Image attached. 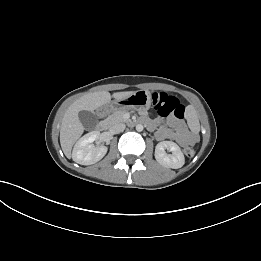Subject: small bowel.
Wrapping results in <instances>:
<instances>
[{"label":"small bowel","mask_w":261,"mask_h":261,"mask_svg":"<svg viewBox=\"0 0 261 261\" xmlns=\"http://www.w3.org/2000/svg\"><path fill=\"white\" fill-rule=\"evenodd\" d=\"M149 128L154 127V123L148 119L144 120ZM157 140L165 139L175 140L181 146L191 145L196 142L197 138L194 134L188 131L185 124L181 120L167 119L155 132Z\"/></svg>","instance_id":"obj_1"}]
</instances>
